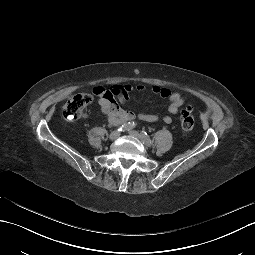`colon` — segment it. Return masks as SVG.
Here are the masks:
<instances>
[{"label": "colon", "instance_id": "colon-1", "mask_svg": "<svg viewBox=\"0 0 255 255\" xmlns=\"http://www.w3.org/2000/svg\"><path fill=\"white\" fill-rule=\"evenodd\" d=\"M93 101V96L88 93H78L67 98L63 106V115L66 119L75 120L79 118L84 109ZM181 129L183 133H189L195 125L192 109L186 107L180 113Z\"/></svg>", "mask_w": 255, "mask_h": 255}]
</instances>
